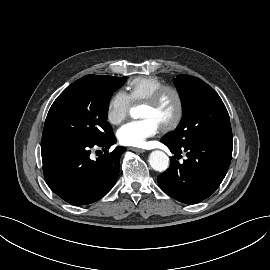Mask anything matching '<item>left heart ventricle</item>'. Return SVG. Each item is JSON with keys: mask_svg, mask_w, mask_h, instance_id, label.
Returning a JSON list of instances; mask_svg holds the SVG:
<instances>
[{"mask_svg": "<svg viewBox=\"0 0 270 270\" xmlns=\"http://www.w3.org/2000/svg\"><path fill=\"white\" fill-rule=\"evenodd\" d=\"M176 99L170 92L166 93L156 105L143 104L141 116L153 118L160 127L175 115Z\"/></svg>", "mask_w": 270, "mask_h": 270, "instance_id": "b2bd125f", "label": "left heart ventricle"}]
</instances>
